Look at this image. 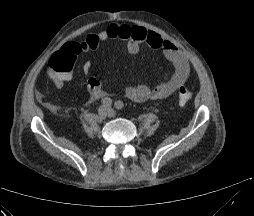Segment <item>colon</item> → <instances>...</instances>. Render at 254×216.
I'll use <instances>...</instances> for the list:
<instances>
[{"label": "colon", "mask_w": 254, "mask_h": 216, "mask_svg": "<svg viewBox=\"0 0 254 216\" xmlns=\"http://www.w3.org/2000/svg\"><path fill=\"white\" fill-rule=\"evenodd\" d=\"M74 53H78L82 51V48L79 44H75L73 46ZM73 61L67 56L64 52L57 53L51 60L48 65V71L52 75L56 74H65L72 71ZM192 97L191 91L187 87H180L177 93V99L179 104L185 105L187 104Z\"/></svg>", "instance_id": "1"}]
</instances>
